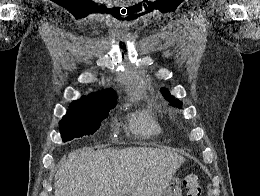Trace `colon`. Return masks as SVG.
Masks as SVG:
<instances>
[{"mask_svg":"<svg viewBox=\"0 0 260 196\" xmlns=\"http://www.w3.org/2000/svg\"><path fill=\"white\" fill-rule=\"evenodd\" d=\"M184 185L188 188L187 196H202V186L197 175H187L184 179Z\"/></svg>","mask_w":260,"mask_h":196,"instance_id":"1","label":"colon"}]
</instances>
